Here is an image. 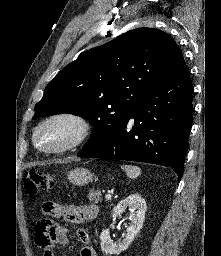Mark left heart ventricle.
Listing matches in <instances>:
<instances>
[{"label":"left heart ventricle","mask_w":221,"mask_h":256,"mask_svg":"<svg viewBox=\"0 0 221 256\" xmlns=\"http://www.w3.org/2000/svg\"><path fill=\"white\" fill-rule=\"evenodd\" d=\"M74 135V127L67 122L58 121L43 127L38 134V142L45 147L59 146Z\"/></svg>","instance_id":"left-heart-ventricle-1"}]
</instances>
